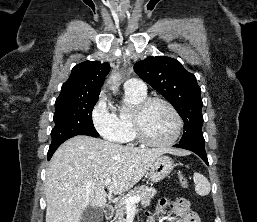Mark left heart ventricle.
<instances>
[{
  "mask_svg": "<svg viewBox=\"0 0 257 222\" xmlns=\"http://www.w3.org/2000/svg\"><path fill=\"white\" fill-rule=\"evenodd\" d=\"M146 135L153 141H166L175 132V119L170 110L163 104H153L143 119Z\"/></svg>",
  "mask_w": 257,
  "mask_h": 222,
  "instance_id": "1",
  "label": "left heart ventricle"
}]
</instances>
